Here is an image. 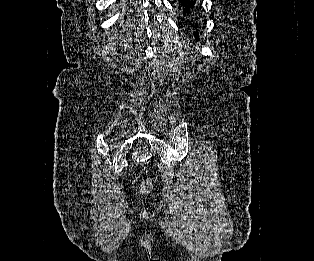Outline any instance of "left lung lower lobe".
Instances as JSON below:
<instances>
[{
  "mask_svg": "<svg viewBox=\"0 0 314 261\" xmlns=\"http://www.w3.org/2000/svg\"><path fill=\"white\" fill-rule=\"evenodd\" d=\"M195 5V0H179V10L183 16H188L192 14V10ZM196 39L198 40L197 34H195Z\"/></svg>",
  "mask_w": 314,
  "mask_h": 261,
  "instance_id": "obj_1",
  "label": "left lung lower lobe"
}]
</instances>
